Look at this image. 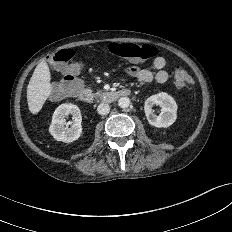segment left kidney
Returning <instances> with one entry per match:
<instances>
[{
    "label": "left kidney",
    "instance_id": "5707ae66",
    "mask_svg": "<svg viewBox=\"0 0 232 232\" xmlns=\"http://www.w3.org/2000/svg\"><path fill=\"white\" fill-rule=\"evenodd\" d=\"M155 104L162 107L161 114L158 116L152 110ZM144 110L149 124L158 128L171 126L177 118V104L174 98L165 92H160L147 98Z\"/></svg>",
    "mask_w": 232,
    "mask_h": 232
}]
</instances>
